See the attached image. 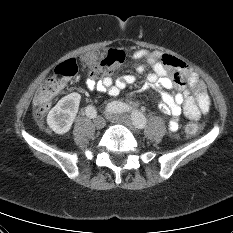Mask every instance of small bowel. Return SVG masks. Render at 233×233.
Instances as JSON below:
<instances>
[{
	"label": "small bowel",
	"mask_w": 233,
	"mask_h": 233,
	"mask_svg": "<svg viewBox=\"0 0 233 233\" xmlns=\"http://www.w3.org/2000/svg\"><path fill=\"white\" fill-rule=\"evenodd\" d=\"M135 61L144 60L152 67L147 85L160 92L161 111L171 116L169 130L176 131L178 119L183 113L190 120H197L210 108V100L204 82L185 62L159 51L140 49L132 54ZM137 73L145 71V64H136ZM136 76L132 74L113 79L105 76L98 81L88 78L87 89L90 92L117 96L127 86L134 84Z\"/></svg>",
	"instance_id": "small-bowel-1"
}]
</instances>
